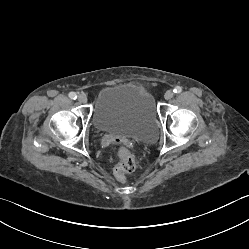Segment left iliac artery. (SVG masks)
<instances>
[{"label": "left iliac artery", "mask_w": 249, "mask_h": 249, "mask_svg": "<svg viewBox=\"0 0 249 249\" xmlns=\"http://www.w3.org/2000/svg\"><path fill=\"white\" fill-rule=\"evenodd\" d=\"M181 91H182V87H180V86H176V87L174 88V90H173V92H174L175 94H179V93H181Z\"/></svg>", "instance_id": "44dca946"}]
</instances>
